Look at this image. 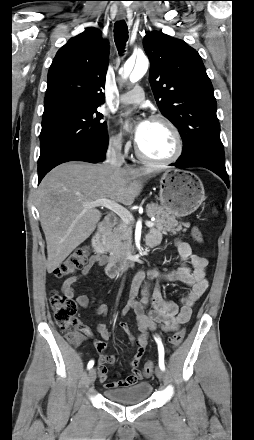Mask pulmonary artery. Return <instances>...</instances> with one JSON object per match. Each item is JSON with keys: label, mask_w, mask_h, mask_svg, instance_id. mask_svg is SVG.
<instances>
[{"label": "pulmonary artery", "mask_w": 254, "mask_h": 440, "mask_svg": "<svg viewBox=\"0 0 254 440\" xmlns=\"http://www.w3.org/2000/svg\"><path fill=\"white\" fill-rule=\"evenodd\" d=\"M145 94L141 86H136L132 90L120 95L118 101L123 104L140 103L144 100Z\"/></svg>", "instance_id": "obj_1"}]
</instances>
